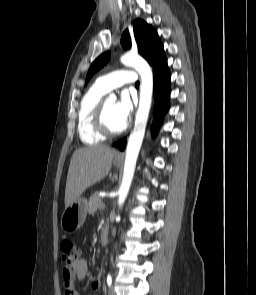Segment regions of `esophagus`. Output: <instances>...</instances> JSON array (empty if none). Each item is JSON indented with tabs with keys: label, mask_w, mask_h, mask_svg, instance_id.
I'll use <instances>...</instances> for the list:
<instances>
[{
	"label": "esophagus",
	"mask_w": 256,
	"mask_h": 295,
	"mask_svg": "<svg viewBox=\"0 0 256 295\" xmlns=\"http://www.w3.org/2000/svg\"><path fill=\"white\" fill-rule=\"evenodd\" d=\"M117 158H123V153L119 152V153L117 154Z\"/></svg>",
	"instance_id": "34e87169"
}]
</instances>
